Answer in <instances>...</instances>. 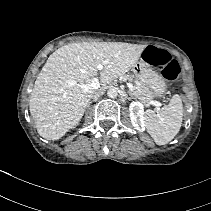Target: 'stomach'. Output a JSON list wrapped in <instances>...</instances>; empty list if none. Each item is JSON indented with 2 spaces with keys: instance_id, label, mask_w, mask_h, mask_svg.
Listing matches in <instances>:
<instances>
[{
  "instance_id": "stomach-1",
  "label": "stomach",
  "mask_w": 211,
  "mask_h": 211,
  "mask_svg": "<svg viewBox=\"0 0 211 211\" xmlns=\"http://www.w3.org/2000/svg\"><path fill=\"white\" fill-rule=\"evenodd\" d=\"M132 71L136 79L151 88L154 96L164 95L166 91L164 79L146 61L141 59L133 66Z\"/></svg>"
}]
</instances>
